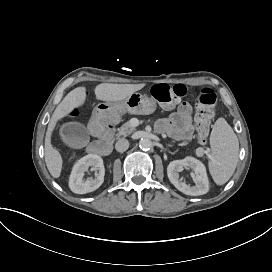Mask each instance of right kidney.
<instances>
[{
    "label": "right kidney",
    "instance_id": "ca27d5eb",
    "mask_svg": "<svg viewBox=\"0 0 272 272\" xmlns=\"http://www.w3.org/2000/svg\"><path fill=\"white\" fill-rule=\"evenodd\" d=\"M92 167L95 177L85 179V171ZM103 159L94 154H88L79 159L73 166L69 177V188L75 194H87L98 189L104 182Z\"/></svg>",
    "mask_w": 272,
    "mask_h": 272
}]
</instances>
